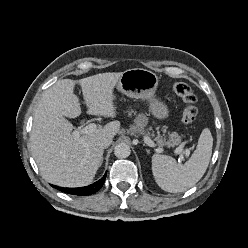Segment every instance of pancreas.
<instances>
[{
	"instance_id": "cf45deb5",
	"label": "pancreas",
	"mask_w": 248,
	"mask_h": 248,
	"mask_svg": "<svg viewBox=\"0 0 248 248\" xmlns=\"http://www.w3.org/2000/svg\"><path fill=\"white\" fill-rule=\"evenodd\" d=\"M132 114H136L133 110L128 111V115L131 116ZM156 142L158 145L163 146L165 144H173V145H178L181 143V137L178 135V133L173 132L169 134V140H165L162 138V136L158 135L156 137Z\"/></svg>"
}]
</instances>
